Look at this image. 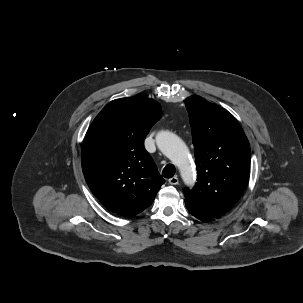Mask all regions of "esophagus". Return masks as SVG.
<instances>
[{"instance_id":"esophagus-1","label":"esophagus","mask_w":303,"mask_h":303,"mask_svg":"<svg viewBox=\"0 0 303 303\" xmlns=\"http://www.w3.org/2000/svg\"><path fill=\"white\" fill-rule=\"evenodd\" d=\"M168 182H169L171 185H177V184H179V179H178L177 176H174V177L170 178V179L168 180Z\"/></svg>"}]
</instances>
